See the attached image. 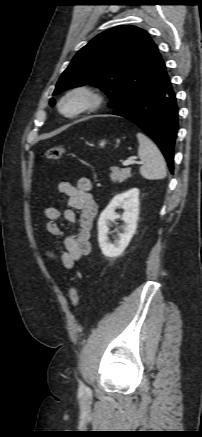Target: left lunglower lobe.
<instances>
[{
    "mask_svg": "<svg viewBox=\"0 0 202 437\" xmlns=\"http://www.w3.org/2000/svg\"><path fill=\"white\" fill-rule=\"evenodd\" d=\"M112 114L124 117L144 130L158 145L173 173L178 107L166 67L155 79L117 106Z\"/></svg>",
    "mask_w": 202,
    "mask_h": 437,
    "instance_id": "obj_1",
    "label": "left lung lower lobe"
}]
</instances>
